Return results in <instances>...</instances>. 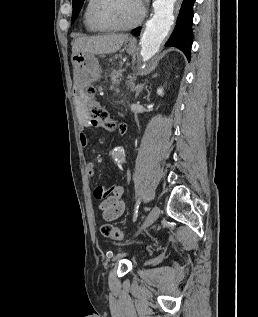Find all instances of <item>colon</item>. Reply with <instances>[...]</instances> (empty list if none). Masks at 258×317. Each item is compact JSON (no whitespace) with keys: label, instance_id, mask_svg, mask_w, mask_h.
Masks as SVG:
<instances>
[{"label":"colon","instance_id":"5ec220e1","mask_svg":"<svg viewBox=\"0 0 258 317\" xmlns=\"http://www.w3.org/2000/svg\"><path fill=\"white\" fill-rule=\"evenodd\" d=\"M85 102L92 126L104 128L109 131L117 128V123L111 118L108 111L95 99L93 89L87 91ZM101 233L104 237L113 241H121L124 237L122 230L112 224H104L101 227Z\"/></svg>","mask_w":258,"mask_h":317}]
</instances>
